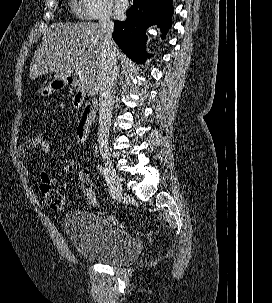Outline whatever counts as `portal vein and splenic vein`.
<instances>
[{"instance_id": "obj_1", "label": "portal vein and splenic vein", "mask_w": 272, "mask_h": 303, "mask_svg": "<svg viewBox=\"0 0 272 303\" xmlns=\"http://www.w3.org/2000/svg\"><path fill=\"white\" fill-rule=\"evenodd\" d=\"M79 81L82 84H85L88 82V77L84 74L78 73Z\"/></svg>"}]
</instances>
